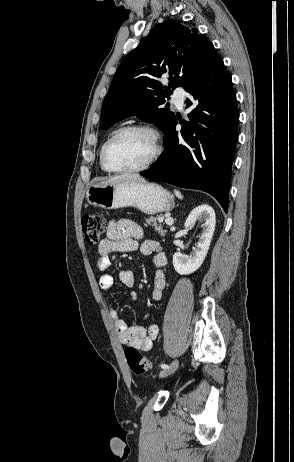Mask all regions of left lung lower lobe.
Listing matches in <instances>:
<instances>
[{
  "label": "left lung lower lobe",
  "instance_id": "obj_1",
  "mask_svg": "<svg viewBox=\"0 0 294 462\" xmlns=\"http://www.w3.org/2000/svg\"><path fill=\"white\" fill-rule=\"evenodd\" d=\"M184 89L192 95L186 104L192 108L189 121L178 133L174 118L165 133L164 155L141 175L206 191L227 212L239 119L232 79L219 58Z\"/></svg>",
  "mask_w": 294,
  "mask_h": 462
}]
</instances>
